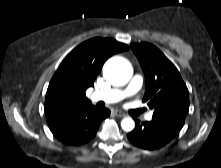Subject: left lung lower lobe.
Instances as JSON below:
<instances>
[{
    "label": "left lung lower lobe",
    "mask_w": 221,
    "mask_h": 168,
    "mask_svg": "<svg viewBox=\"0 0 221 168\" xmlns=\"http://www.w3.org/2000/svg\"><path fill=\"white\" fill-rule=\"evenodd\" d=\"M135 121L136 127L127 134V137L133 145L147 150L164 146L181 130L173 125L153 119L142 124L137 119Z\"/></svg>",
    "instance_id": "left-lung-lower-lobe-1"
}]
</instances>
